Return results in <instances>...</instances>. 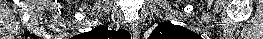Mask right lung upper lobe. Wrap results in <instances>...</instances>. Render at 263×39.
Here are the masks:
<instances>
[{
	"label": "right lung upper lobe",
	"instance_id": "right-lung-upper-lobe-1",
	"mask_svg": "<svg viewBox=\"0 0 263 39\" xmlns=\"http://www.w3.org/2000/svg\"><path fill=\"white\" fill-rule=\"evenodd\" d=\"M85 39H93V38H114V39H121L125 35H129L128 32L124 30L118 31H109L106 26H98L92 29L90 32H86Z\"/></svg>",
	"mask_w": 263,
	"mask_h": 39
}]
</instances>
